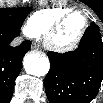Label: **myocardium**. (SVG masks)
Segmentation results:
<instances>
[{
    "instance_id": "f54148a6",
    "label": "myocardium",
    "mask_w": 103,
    "mask_h": 103,
    "mask_svg": "<svg viewBox=\"0 0 103 103\" xmlns=\"http://www.w3.org/2000/svg\"><path fill=\"white\" fill-rule=\"evenodd\" d=\"M75 14H81L84 17L85 22H84V27H83L82 31L79 33V35L73 41H71L67 44H57L54 41L55 35L59 31V29L62 27V25L71 16H73ZM88 27H89V19L84 11L70 10V11L64 13L63 15H61L60 17H58L56 20H54L53 23L48 27V29L46 30V32L43 35V43L46 48H48L49 50L55 51V52L64 53V52L71 51L80 44V42L82 41V39L84 38V36L88 30Z\"/></svg>"
}]
</instances>
